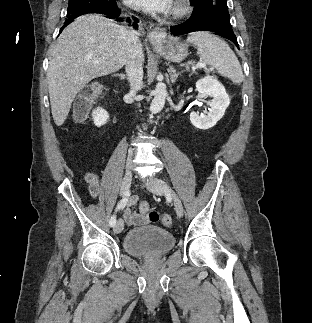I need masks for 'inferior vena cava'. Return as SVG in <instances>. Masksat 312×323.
<instances>
[{"mask_svg": "<svg viewBox=\"0 0 312 323\" xmlns=\"http://www.w3.org/2000/svg\"><path fill=\"white\" fill-rule=\"evenodd\" d=\"M124 28V26H123ZM126 36L129 44V52L126 60L127 80L130 84V94L135 96L142 88L144 56L142 44L138 38L139 32L133 28L126 30Z\"/></svg>", "mask_w": 312, "mask_h": 323, "instance_id": "obj_1", "label": "inferior vena cava"}]
</instances>
